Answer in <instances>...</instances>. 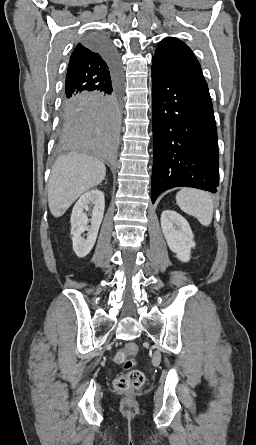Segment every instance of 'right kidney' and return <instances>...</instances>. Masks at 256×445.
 <instances>
[{
  "label": "right kidney",
  "instance_id": "right-kidney-1",
  "mask_svg": "<svg viewBox=\"0 0 256 445\" xmlns=\"http://www.w3.org/2000/svg\"><path fill=\"white\" fill-rule=\"evenodd\" d=\"M90 204L94 205V207L90 219L91 225L87 227L89 219L84 209H87ZM104 209V194L98 189L84 193L74 205L70 222L73 250L78 257L83 258L92 250L103 219ZM85 231H87L86 238L83 236Z\"/></svg>",
  "mask_w": 256,
  "mask_h": 445
}]
</instances>
